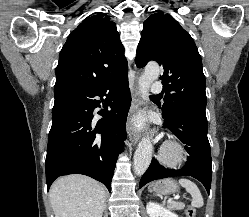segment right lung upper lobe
I'll return each mask as SVG.
<instances>
[{
  "instance_id": "obj_1",
  "label": "right lung upper lobe",
  "mask_w": 249,
  "mask_h": 217,
  "mask_svg": "<svg viewBox=\"0 0 249 217\" xmlns=\"http://www.w3.org/2000/svg\"><path fill=\"white\" fill-rule=\"evenodd\" d=\"M126 68L116 24L98 12L68 36L59 55L54 88L96 87L127 75Z\"/></svg>"
}]
</instances>
